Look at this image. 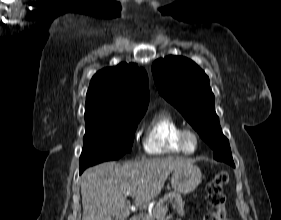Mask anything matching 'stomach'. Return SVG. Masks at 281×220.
Instances as JSON below:
<instances>
[{
  "label": "stomach",
  "instance_id": "0dacf381",
  "mask_svg": "<svg viewBox=\"0 0 281 220\" xmlns=\"http://www.w3.org/2000/svg\"><path fill=\"white\" fill-rule=\"evenodd\" d=\"M201 180V170L195 165H190L173 172L171 185L177 193L188 194L198 187Z\"/></svg>",
  "mask_w": 281,
  "mask_h": 220
}]
</instances>
